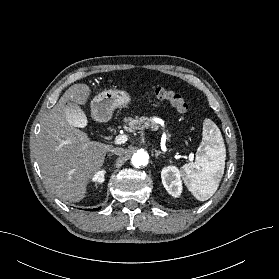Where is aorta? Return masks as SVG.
<instances>
[{"instance_id":"762f6f07","label":"aorta","mask_w":279,"mask_h":279,"mask_svg":"<svg viewBox=\"0 0 279 279\" xmlns=\"http://www.w3.org/2000/svg\"><path fill=\"white\" fill-rule=\"evenodd\" d=\"M149 161V155L144 150H138L133 154L131 162L135 167L146 166Z\"/></svg>"}]
</instances>
